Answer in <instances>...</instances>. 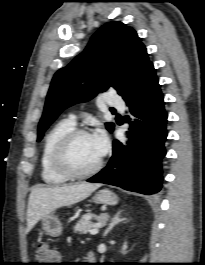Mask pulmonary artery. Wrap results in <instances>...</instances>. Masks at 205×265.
<instances>
[{"label": "pulmonary artery", "instance_id": "1", "mask_svg": "<svg viewBox=\"0 0 205 265\" xmlns=\"http://www.w3.org/2000/svg\"><path fill=\"white\" fill-rule=\"evenodd\" d=\"M107 104L112 107V108H118V109H123L124 108V101L123 99L114 94V93H110L107 97ZM69 120L72 122V123H76V119L74 116H70Z\"/></svg>", "mask_w": 205, "mask_h": 265}]
</instances>
